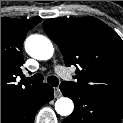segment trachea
<instances>
[{"instance_id": "trachea-1", "label": "trachea", "mask_w": 123, "mask_h": 123, "mask_svg": "<svg viewBox=\"0 0 123 123\" xmlns=\"http://www.w3.org/2000/svg\"><path fill=\"white\" fill-rule=\"evenodd\" d=\"M43 79H44L43 75L40 73H37L30 78H24V82L30 83V84H41V83H43ZM47 82L54 87H57L58 83H59L58 78L55 76H49L47 78Z\"/></svg>"}]
</instances>
